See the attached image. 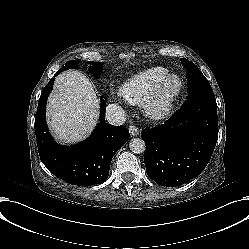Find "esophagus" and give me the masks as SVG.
Here are the masks:
<instances>
[{
  "label": "esophagus",
  "mask_w": 249,
  "mask_h": 249,
  "mask_svg": "<svg viewBox=\"0 0 249 249\" xmlns=\"http://www.w3.org/2000/svg\"><path fill=\"white\" fill-rule=\"evenodd\" d=\"M129 132H130L131 137H134V136H137L139 134V129L135 125H130Z\"/></svg>",
  "instance_id": "1"
}]
</instances>
